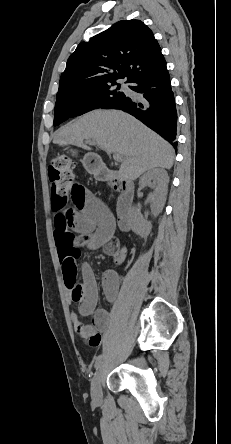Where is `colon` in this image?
<instances>
[{"label": "colon", "mask_w": 231, "mask_h": 444, "mask_svg": "<svg viewBox=\"0 0 231 444\" xmlns=\"http://www.w3.org/2000/svg\"><path fill=\"white\" fill-rule=\"evenodd\" d=\"M49 178L52 185V197L57 200H64L68 198L76 185V180L73 174L72 162L65 156L56 157L49 167ZM114 188L121 189L124 183L113 182ZM118 259L122 257L121 254L116 255ZM69 263L74 266V259L69 260ZM84 292V287L77 284L75 287V296L80 297Z\"/></svg>", "instance_id": "1"}]
</instances>
